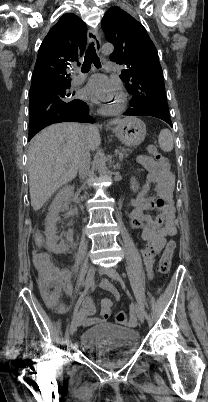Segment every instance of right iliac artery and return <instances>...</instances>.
I'll use <instances>...</instances> for the list:
<instances>
[{
	"mask_svg": "<svg viewBox=\"0 0 208 402\" xmlns=\"http://www.w3.org/2000/svg\"><path fill=\"white\" fill-rule=\"evenodd\" d=\"M91 286H92V285H91ZM91 286H86L85 289L83 290V292H82V294H81V296H80V298H79V300L77 301V304H76V306H75L74 313H73V319H72V320H74V318L76 317L77 312H78V310H79V308H80V306H81V304H82V301H83L84 297L88 294L89 289H90Z\"/></svg>",
	"mask_w": 208,
	"mask_h": 402,
	"instance_id": "obj_1",
	"label": "right iliac artery"
}]
</instances>
